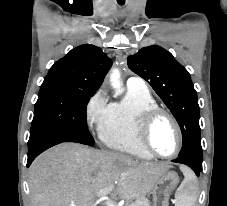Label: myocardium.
<instances>
[{
    "label": "myocardium",
    "instance_id": "f54148a6",
    "mask_svg": "<svg viewBox=\"0 0 227 206\" xmlns=\"http://www.w3.org/2000/svg\"><path fill=\"white\" fill-rule=\"evenodd\" d=\"M161 116H164L170 120V122L172 123V125L175 129L176 136H177L176 149L173 153H171L169 155H163V154L158 153L152 147L151 142H150L151 129H152L155 121ZM137 136H138L140 145L143 147V149L146 152L151 154L153 157H158V158H163V159L173 158L176 155H178V153L180 152V150L182 148V144H183L182 131H181L178 121L169 111H167L161 107H154V108L148 109L141 114V116L139 117V120H138V124H137Z\"/></svg>",
    "mask_w": 227,
    "mask_h": 206
}]
</instances>
